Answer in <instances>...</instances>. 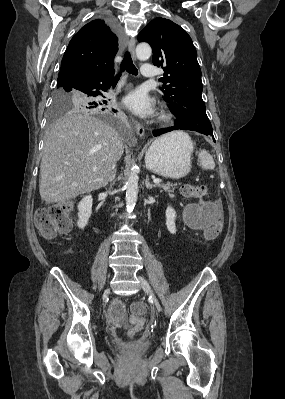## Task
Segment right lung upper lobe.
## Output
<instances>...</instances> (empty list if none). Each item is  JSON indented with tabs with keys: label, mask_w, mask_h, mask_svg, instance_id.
<instances>
[{
	"label": "right lung upper lobe",
	"mask_w": 285,
	"mask_h": 399,
	"mask_svg": "<svg viewBox=\"0 0 285 399\" xmlns=\"http://www.w3.org/2000/svg\"><path fill=\"white\" fill-rule=\"evenodd\" d=\"M118 37L103 19L89 22L71 39L62 59L57 86H69L84 73L114 70Z\"/></svg>",
	"instance_id": "obj_1"
}]
</instances>
